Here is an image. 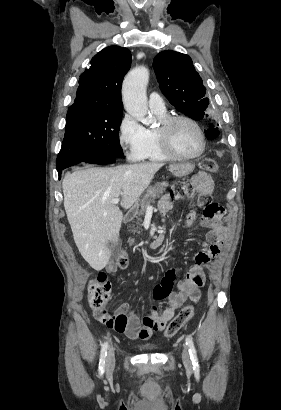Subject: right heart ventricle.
<instances>
[{"label": "right heart ventricle", "instance_id": "1", "mask_svg": "<svg viewBox=\"0 0 281 410\" xmlns=\"http://www.w3.org/2000/svg\"><path fill=\"white\" fill-rule=\"evenodd\" d=\"M159 120L167 117L166 111H153ZM170 158L161 149L157 136L156 129L150 128L146 130V141L139 160L141 161H167Z\"/></svg>", "mask_w": 281, "mask_h": 410}]
</instances>
